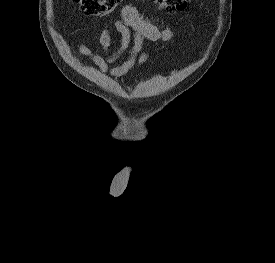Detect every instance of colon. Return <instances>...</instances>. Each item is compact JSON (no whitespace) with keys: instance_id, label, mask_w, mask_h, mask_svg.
I'll use <instances>...</instances> for the list:
<instances>
[{"instance_id":"colon-1","label":"colon","mask_w":275,"mask_h":263,"mask_svg":"<svg viewBox=\"0 0 275 263\" xmlns=\"http://www.w3.org/2000/svg\"><path fill=\"white\" fill-rule=\"evenodd\" d=\"M79 4L81 10L88 15L104 17L113 13L122 0H72ZM157 6L167 13L183 12L189 0H154Z\"/></svg>"}]
</instances>
